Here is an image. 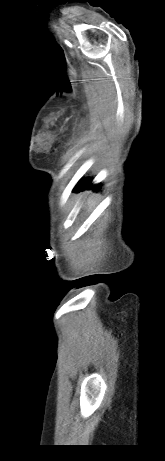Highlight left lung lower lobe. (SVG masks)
Here are the masks:
<instances>
[{"label":"left lung lower lobe","mask_w":165,"mask_h":461,"mask_svg":"<svg viewBox=\"0 0 165 461\" xmlns=\"http://www.w3.org/2000/svg\"><path fill=\"white\" fill-rule=\"evenodd\" d=\"M86 188H94L96 190L100 189V185H93L92 184V180H88V181H84V180H81L79 181V183L75 186V188L73 189V191L75 192H80Z\"/></svg>","instance_id":"1"}]
</instances>
